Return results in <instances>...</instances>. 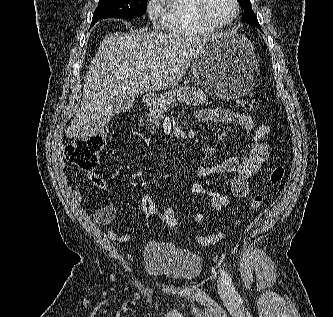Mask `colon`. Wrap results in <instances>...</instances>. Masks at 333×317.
<instances>
[{"mask_svg":"<svg viewBox=\"0 0 333 317\" xmlns=\"http://www.w3.org/2000/svg\"><path fill=\"white\" fill-rule=\"evenodd\" d=\"M239 105L246 111L253 110V104L248 100L239 101ZM105 144L106 137L102 132L76 139L65 148V159L82 170H94L98 165L100 153L104 149ZM285 175L286 168L283 165L275 166L268 177L269 185L274 186L280 184L285 178ZM264 198L263 194H256L250 202V209L256 210L261 207ZM156 217L170 229L176 230L179 228L178 219L171 208L158 209ZM223 238L224 234L219 233L209 236H197L193 238V240L202 246H210L219 243Z\"/></svg>","mask_w":333,"mask_h":317,"instance_id":"obj_1","label":"colon"}]
</instances>
